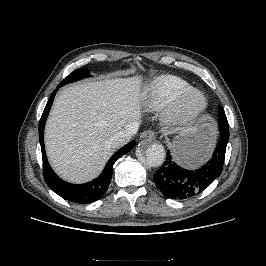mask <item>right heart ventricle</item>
Returning a JSON list of instances; mask_svg holds the SVG:
<instances>
[{
    "instance_id": "obj_1",
    "label": "right heart ventricle",
    "mask_w": 266,
    "mask_h": 266,
    "mask_svg": "<svg viewBox=\"0 0 266 266\" xmlns=\"http://www.w3.org/2000/svg\"><path fill=\"white\" fill-rule=\"evenodd\" d=\"M191 87L189 82L175 75L157 76L150 81L146 88L143 106L150 112L160 111L180 92Z\"/></svg>"
}]
</instances>
